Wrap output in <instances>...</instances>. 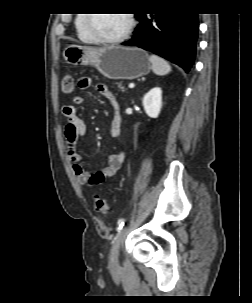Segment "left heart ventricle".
Listing matches in <instances>:
<instances>
[{"label":"left heart ventricle","instance_id":"b2bd125f","mask_svg":"<svg viewBox=\"0 0 252 303\" xmlns=\"http://www.w3.org/2000/svg\"><path fill=\"white\" fill-rule=\"evenodd\" d=\"M92 17V31L107 37L121 34L128 24L126 14H93Z\"/></svg>","mask_w":252,"mask_h":303}]
</instances>
